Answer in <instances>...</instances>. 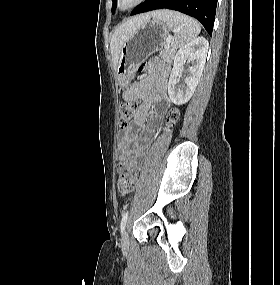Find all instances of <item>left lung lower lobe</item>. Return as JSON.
Listing matches in <instances>:
<instances>
[{"label":"left lung lower lobe","instance_id":"left-lung-lower-lobe-1","mask_svg":"<svg viewBox=\"0 0 280 285\" xmlns=\"http://www.w3.org/2000/svg\"><path fill=\"white\" fill-rule=\"evenodd\" d=\"M217 0H146L131 13L135 15L156 9H172L199 20L209 35H212Z\"/></svg>","mask_w":280,"mask_h":285}]
</instances>
